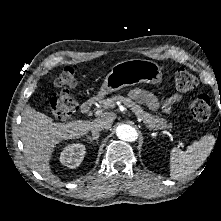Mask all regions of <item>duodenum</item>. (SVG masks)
<instances>
[{
  "instance_id": "410a0bca",
  "label": "duodenum",
  "mask_w": 221,
  "mask_h": 221,
  "mask_svg": "<svg viewBox=\"0 0 221 221\" xmlns=\"http://www.w3.org/2000/svg\"><path fill=\"white\" fill-rule=\"evenodd\" d=\"M95 103H96V99L94 98L86 100L80 107V113L81 114L89 113L92 110Z\"/></svg>"
}]
</instances>
